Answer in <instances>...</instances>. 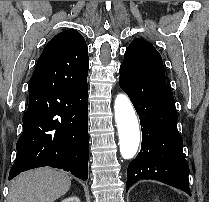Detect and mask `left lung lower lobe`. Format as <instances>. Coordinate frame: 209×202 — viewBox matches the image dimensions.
<instances>
[{"mask_svg":"<svg viewBox=\"0 0 209 202\" xmlns=\"http://www.w3.org/2000/svg\"><path fill=\"white\" fill-rule=\"evenodd\" d=\"M119 84L134 105L142 129L141 151L128 166L126 191L139 180L152 179L191 195L170 87L122 66Z\"/></svg>","mask_w":209,"mask_h":202,"instance_id":"0a47b994","label":"left lung lower lobe"}]
</instances>
